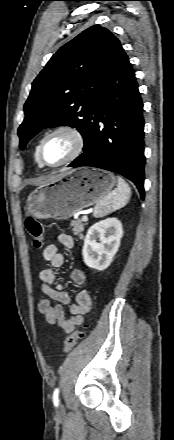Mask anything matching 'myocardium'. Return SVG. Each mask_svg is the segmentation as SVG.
Instances as JSON below:
<instances>
[{
    "mask_svg": "<svg viewBox=\"0 0 174 440\" xmlns=\"http://www.w3.org/2000/svg\"><path fill=\"white\" fill-rule=\"evenodd\" d=\"M59 133H64V134L71 137V139L73 141V149H72L71 153L62 162H60L58 164L50 165V164L45 163L42 159V148H43L45 141L49 137H51L55 134H59ZM84 147H85V138H84L83 133L76 126H73L70 124H61V125H58V126L52 128L51 130H49L40 139V141L37 145V160L42 167L59 168V167L67 165V164L73 162L74 160H76L82 154Z\"/></svg>",
    "mask_w": 174,
    "mask_h": 440,
    "instance_id": "1",
    "label": "myocardium"
}]
</instances>
